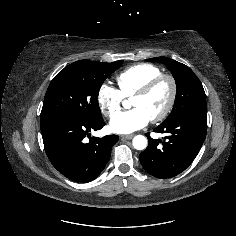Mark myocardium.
Masks as SVG:
<instances>
[{
    "label": "myocardium",
    "mask_w": 236,
    "mask_h": 236,
    "mask_svg": "<svg viewBox=\"0 0 236 236\" xmlns=\"http://www.w3.org/2000/svg\"><path fill=\"white\" fill-rule=\"evenodd\" d=\"M162 82H167L169 84L170 87L169 98L163 111L160 114L156 115L155 117L151 118V121L153 123L165 120L172 112L178 92V85L176 79L171 74H161L153 78L152 80L148 81L132 96V98L146 97Z\"/></svg>",
    "instance_id": "myocardium-1"
}]
</instances>
